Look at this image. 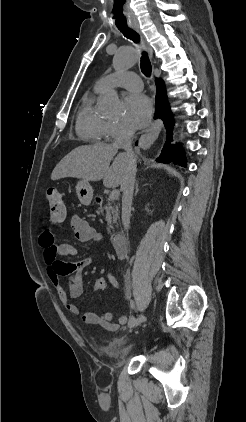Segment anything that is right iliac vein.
Returning a JSON list of instances; mask_svg holds the SVG:
<instances>
[{"mask_svg": "<svg viewBox=\"0 0 246 422\" xmlns=\"http://www.w3.org/2000/svg\"><path fill=\"white\" fill-rule=\"evenodd\" d=\"M145 320H146L145 315H140V316L138 317V319H137L136 323H135V326H139V325H141L142 323H144V322H145Z\"/></svg>", "mask_w": 246, "mask_h": 422, "instance_id": "63e3f726", "label": "right iliac vein"}]
</instances>
